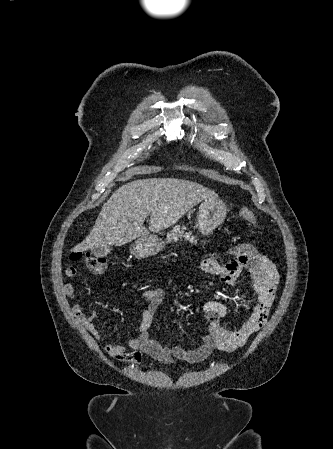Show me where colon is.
Masks as SVG:
<instances>
[{"label": "colon", "mask_w": 333, "mask_h": 449, "mask_svg": "<svg viewBox=\"0 0 333 449\" xmlns=\"http://www.w3.org/2000/svg\"><path fill=\"white\" fill-rule=\"evenodd\" d=\"M239 216L246 222L256 226L258 221L253 214V212L247 208L243 207L239 210ZM69 259L72 262H81L84 264L85 268L95 274L101 273L106 267V258L103 256L93 255L88 252L82 251H72Z\"/></svg>", "instance_id": "1"}]
</instances>
